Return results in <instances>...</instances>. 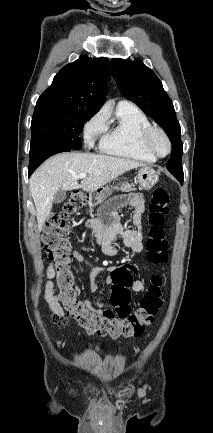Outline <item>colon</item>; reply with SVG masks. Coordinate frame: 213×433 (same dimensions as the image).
<instances>
[{
	"mask_svg": "<svg viewBox=\"0 0 213 433\" xmlns=\"http://www.w3.org/2000/svg\"><path fill=\"white\" fill-rule=\"evenodd\" d=\"M87 194L72 191L60 212L50 215L43 232V248L56 271V283L60 289L59 299L67 315L90 333L121 336H140L145 327L150 325L163 306L162 279L153 275L151 283L139 301L138 308L132 311L130 306L133 272L128 266L117 267L111 275L112 294L111 311L98 312L78 299L70 271V249L65 234L69 229L71 217L87 204ZM169 194L163 188L154 190L149 205V228L147 230L146 250L149 260L159 264L167 259L168 243L164 225L169 212ZM64 326V320H57Z\"/></svg>",
	"mask_w": 213,
	"mask_h": 433,
	"instance_id": "1",
	"label": "colon"
}]
</instances>
